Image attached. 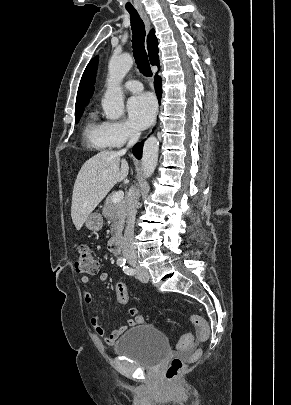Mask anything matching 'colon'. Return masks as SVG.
<instances>
[{"label":"colon","instance_id":"colon-1","mask_svg":"<svg viewBox=\"0 0 291 405\" xmlns=\"http://www.w3.org/2000/svg\"><path fill=\"white\" fill-rule=\"evenodd\" d=\"M75 269L80 273H87L94 275L99 271V264L96 260L91 248L88 245H81L77 250V257L75 260ZM116 299L121 304H126L129 299L128 290L126 285L123 282H118L115 286ZM191 322L196 327L199 340L205 342L210 337V327L207 321L199 315H192ZM193 337L190 334H185L181 337L178 342V347L181 350H187L192 346ZM202 354V351L199 349L195 351L190 358L189 362L197 360ZM186 360L175 357L171 360L167 370H166V379L168 381L175 380L183 371L186 365Z\"/></svg>","mask_w":291,"mask_h":405}]
</instances>
